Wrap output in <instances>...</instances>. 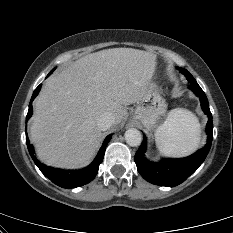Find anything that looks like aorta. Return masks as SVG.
<instances>
[{"mask_svg": "<svg viewBox=\"0 0 233 233\" xmlns=\"http://www.w3.org/2000/svg\"><path fill=\"white\" fill-rule=\"evenodd\" d=\"M125 140L128 145L136 147L141 144L142 135L139 130L131 128L125 132Z\"/></svg>", "mask_w": 233, "mask_h": 233, "instance_id": "762f6f07", "label": "aorta"}]
</instances>
